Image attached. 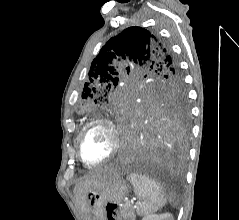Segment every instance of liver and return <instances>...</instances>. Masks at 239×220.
Here are the masks:
<instances>
[{
	"mask_svg": "<svg viewBox=\"0 0 239 220\" xmlns=\"http://www.w3.org/2000/svg\"><path fill=\"white\" fill-rule=\"evenodd\" d=\"M120 174L117 171H109L105 172L103 175H97L93 177L85 178L80 181L75 189V195L77 202L82 211H87V202H86V194L92 189L102 187L106 185L111 179L119 178Z\"/></svg>",
	"mask_w": 239,
	"mask_h": 220,
	"instance_id": "6515ba94",
	"label": "liver"
}]
</instances>
